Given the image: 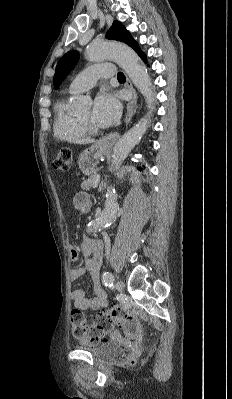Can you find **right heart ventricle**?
<instances>
[{"instance_id": "right-heart-ventricle-1", "label": "right heart ventricle", "mask_w": 232, "mask_h": 399, "mask_svg": "<svg viewBox=\"0 0 232 399\" xmlns=\"http://www.w3.org/2000/svg\"><path fill=\"white\" fill-rule=\"evenodd\" d=\"M52 131L57 140L65 143H80L86 137L77 117L67 112V106L63 101H59L54 105Z\"/></svg>"}]
</instances>
